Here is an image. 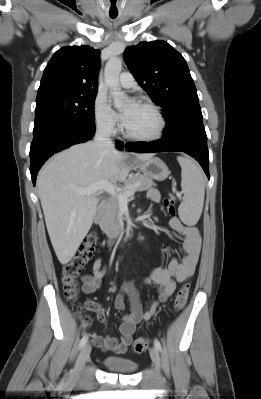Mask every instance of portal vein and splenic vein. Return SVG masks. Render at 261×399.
Returning <instances> with one entry per match:
<instances>
[{"label":"portal vein and splenic vein","instance_id":"1","mask_svg":"<svg viewBox=\"0 0 261 399\" xmlns=\"http://www.w3.org/2000/svg\"><path fill=\"white\" fill-rule=\"evenodd\" d=\"M135 187H133L131 190L125 193H119V191L115 188V186L112 183H110L107 180H102L86 188H75V191L79 194H85V195H91L98 191H106L110 195L117 197L119 203H126L128 201V198L134 195Z\"/></svg>","mask_w":261,"mask_h":399}]
</instances>
